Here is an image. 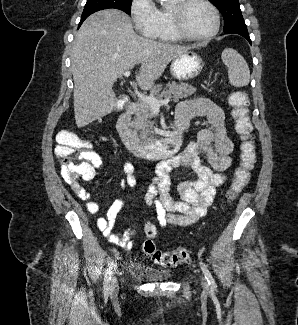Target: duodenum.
I'll return each instance as SVG.
<instances>
[{"label":"duodenum","mask_w":298,"mask_h":325,"mask_svg":"<svg viewBox=\"0 0 298 325\" xmlns=\"http://www.w3.org/2000/svg\"><path fill=\"white\" fill-rule=\"evenodd\" d=\"M137 110V104L130 102L117 121V131L125 147L134 155L151 159L173 156L181 145L182 132L188 127L191 116L196 114L194 108L180 104L177 107L172 131L159 140L145 141L139 139L131 129V119Z\"/></svg>","instance_id":"duodenum-1"}]
</instances>
